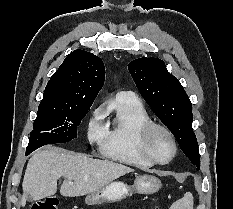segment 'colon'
<instances>
[{"mask_svg": "<svg viewBox=\"0 0 233 209\" xmlns=\"http://www.w3.org/2000/svg\"><path fill=\"white\" fill-rule=\"evenodd\" d=\"M58 201L56 198H47L32 205L31 209H57Z\"/></svg>", "mask_w": 233, "mask_h": 209, "instance_id": "5ec220e1", "label": "colon"}]
</instances>
